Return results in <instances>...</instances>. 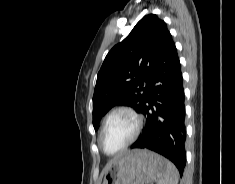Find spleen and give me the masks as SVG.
<instances>
[{
    "label": "spleen",
    "mask_w": 235,
    "mask_h": 184,
    "mask_svg": "<svg viewBox=\"0 0 235 184\" xmlns=\"http://www.w3.org/2000/svg\"><path fill=\"white\" fill-rule=\"evenodd\" d=\"M179 182V172L177 168H175L172 162L169 160H165V170L163 174V178L158 180V184H178Z\"/></svg>",
    "instance_id": "obj_1"
}]
</instances>
